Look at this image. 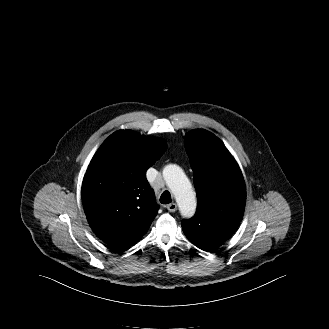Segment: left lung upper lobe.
Masks as SVG:
<instances>
[{
	"instance_id": "1",
	"label": "left lung upper lobe",
	"mask_w": 329,
	"mask_h": 329,
	"mask_svg": "<svg viewBox=\"0 0 329 329\" xmlns=\"http://www.w3.org/2000/svg\"><path fill=\"white\" fill-rule=\"evenodd\" d=\"M185 148L194 171L198 205L196 215L181 223L184 234L192 243L230 236L242 220L246 202L237 162L221 140L206 130L189 132Z\"/></svg>"
}]
</instances>
